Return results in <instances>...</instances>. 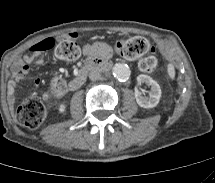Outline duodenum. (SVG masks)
Instances as JSON below:
<instances>
[{
  "label": "duodenum",
  "instance_id": "1",
  "mask_svg": "<svg viewBox=\"0 0 215 183\" xmlns=\"http://www.w3.org/2000/svg\"><path fill=\"white\" fill-rule=\"evenodd\" d=\"M110 66V60L106 57L96 58L82 67L76 76L68 83L69 90L78 89L86 80L87 74L93 70L107 69Z\"/></svg>",
  "mask_w": 215,
  "mask_h": 183
}]
</instances>
